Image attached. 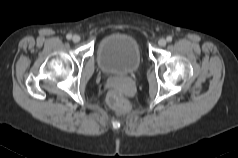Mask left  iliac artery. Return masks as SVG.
<instances>
[{"instance_id": "44dca946", "label": "left iliac artery", "mask_w": 238, "mask_h": 158, "mask_svg": "<svg viewBox=\"0 0 238 158\" xmlns=\"http://www.w3.org/2000/svg\"><path fill=\"white\" fill-rule=\"evenodd\" d=\"M166 39H167L168 42H171L172 41V36H168Z\"/></svg>"}]
</instances>
